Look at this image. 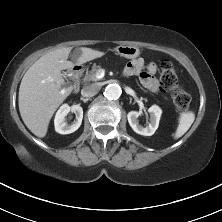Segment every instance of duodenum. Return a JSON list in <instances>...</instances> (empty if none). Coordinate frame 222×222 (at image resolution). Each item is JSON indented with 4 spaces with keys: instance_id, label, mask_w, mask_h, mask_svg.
Returning <instances> with one entry per match:
<instances>
[{
    "instance_id": "duodenum-1",
    "label": "duodenum",
    "mask_w": 222,
    "mask_h": 222,
    "mask_svg": "<svg viewBox=\"0 0 222 222\" xmlns=\"http://www.w3.org/2000/svg\"><path fill=\"white\" fill-rule=\"evenodd\" d=\"M82 74V68L80 66H75L72 70V76L74 78V82H73V92H78L79 88H80V77Z\"/></svg>"
}]
</instances>
